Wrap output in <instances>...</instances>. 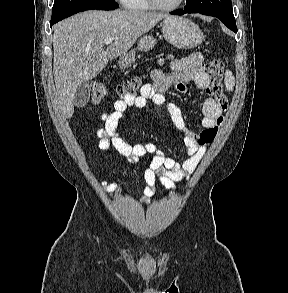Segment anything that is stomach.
Here are the masks:
<instances>
[{"mask_svg": "<svg viewBox=\"0 0 288 293\" xmlns=\"http://www.w3.org/2000/svg\"><path fill=\"white\" fill-rule=\"evenodd\" d=\"M164 38L173 46L180 49H191L202 43L204 38L201 29L192 21L183 17L168 16L162 22ZM156 44L152 36H143L138 42V49L149 51ZM135 62V50L121 55L118 64L121 69H126Z\"/></svg>", "mask_w": 288, "mask_h": 293, "instance_id": "obj_1", "label": "stomach"}]
</instances>
